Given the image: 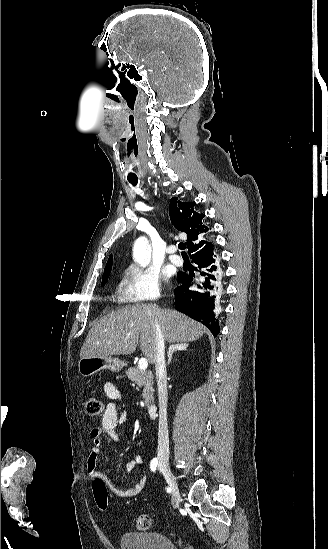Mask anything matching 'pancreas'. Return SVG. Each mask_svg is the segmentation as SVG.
<instances>
[{
	"instance_id": "obj_1",
	"label": "pancreas",
	"mask_w": 328,
	"mask_h": 549,
	"mask_svg": "<svg viewBox=\"0 0 328 549\" xmlns=\"http://www.w3.org/2000/svg\"><path fill=\"white\" fill-rule=\"evenodd\" d=\"M126 375L128 379L133 381V383H136L138 387H144L142 397L145 401V405H150L154 395L153 375L151 371H141L139 367H129L126 371Z\"/></svg>"
}]
</instances>
